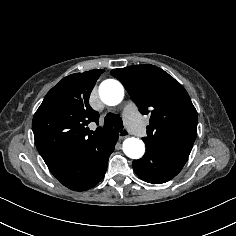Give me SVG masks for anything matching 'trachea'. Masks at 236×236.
Masks as SVG:
<instances>
[{
    "label": "trachea",
    "instance_id": "1",
    "mask_svg": "<svg viewBox=\"0 0 236 236\" xmlns=\"http://www.w3.org/2000/svg\"><path fill=\"white\" fill-rule=\"evenodd\" d=\"M105 129H111L112 127L115 128L117 131L123 130V121L119 115L114 114H107L104 119V126Z\"/></svg>",
    "mask_w": 236,
    "mask_h": 236
}]
</instances>
